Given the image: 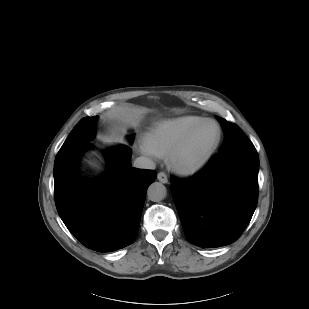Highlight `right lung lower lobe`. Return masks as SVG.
Masks as SVG:
<instances>
[{
	"label": "right lung lower lobe",
	"mask_w": 309,
	"mask_h": 309,
	"mask_svg": "<svg viewBox=\"0 0 309 309\" xmlns=\"http://www.w3.org/2000/svg\"><path fill=\"white\" fill-rule=\"evenodd\" d=\"M89 146L54 165L55 203L62 221L80 243L94 251L111 252L133 243L147 187L157 175L131 168L130 149L119 147L108 153L104 175L81 182L76 168Z\"/></svg>",
	"instance_id": "1"
}]
</instances>
